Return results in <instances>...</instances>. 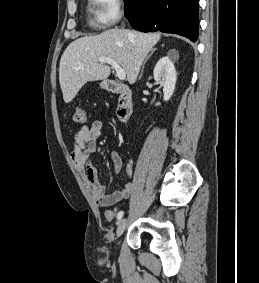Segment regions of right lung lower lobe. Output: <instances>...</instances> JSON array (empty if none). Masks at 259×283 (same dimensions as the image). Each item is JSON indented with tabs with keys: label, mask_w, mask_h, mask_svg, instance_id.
I'll list each match as a JSON object with an SVG mask.
<instances>
[{
	"label": "right lung lower lobe",
	"mask_w": 259,
	"mask_h": 283,
	"mask_svg": "<svg viewBox=\"0 0 259 283\" xmlns=\"http://www.w3.org/2000/svg\"><path fill=\"white\" fill-rule=\"evenodd\" d=\"M199 0H125V16L142 32L176 33L198 38Z\"/></svg>",
	"instance_id": "98d812e1"
}]
</instances>
